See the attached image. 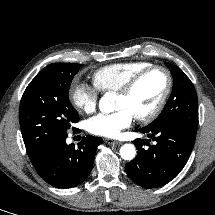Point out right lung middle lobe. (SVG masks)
<instances>
[{
  "mask_svg": "<svg viewBox=\"0 0 215 215\" xmlns=\"http://www.w3.org/2000/svg\"><path fill=\"white\" fill-rule=\"evenodd\" d=\"M81 64L53 63L27 86L20 102L19 121L29 157L67 136L71 123L79 120L69 101L71 81Z\"/></svg>",
  "mask_w": 215,
  "mask_h": 215,
  "instance_id": "1",
  "label": "right lung middle lobe"
}]
</instances>
